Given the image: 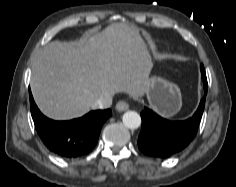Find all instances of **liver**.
<instances>
[{
	"label": "liver",
	"mask_w": 236,
	"mask_h": 187,
	"mask_svg": "<svg viewBox=\"0 0 236 187\" xmlns=\"http://www.w3.org/2000/svg\"><path fill=\"white\" fill-rule=\"evenodd\" d=\"M151 57L139 29L113 23L78 41H53L32 66L31 91L39 109L55 120L81 117L102 95L146 94Z\"/></svg>",
	"instance_id": "obj_1"
}]
</instances>
